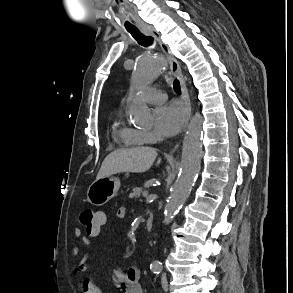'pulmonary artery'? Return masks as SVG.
Returning a JSON list of instances; mask_svg holds the SVG:
<instances>
[{
    "label": "pulmonary artery",
    "instance_id": "pulmonary-artery-1",
    "mask_svg": "<svg viewBox=\"0 0 293 293\" xmlns=\"http://www.w3.org/2000/svg\"><path fill=\"white\" fill-rule=\"evenodd\" d=\"M142 98L151 104H160L167 98L166 94L153 87H148L142 92Z\"/></svg>",
    "mask_w": 293,
    "mask_h": 293
}]
</instances>
